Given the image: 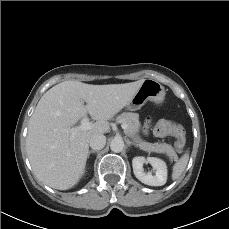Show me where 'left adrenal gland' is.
Instances as JSON below:
<instances>
[{
	"label": "left adrenal gland",
	"instance_id": "obj_1",
	"mask_svg": "<svg viewBox=\"0 0 229 229\" xmlns=\"http://www.w3.org/2000/svg\"><path fill=\"white\" fill-rule=\"evenodd\" d=\"M127 143H128V146L135 145V144L132 143L130 140H128Z\"/></svg>",
	"mask_w": 229,
	"mask_h": 229
}]
</instances>
